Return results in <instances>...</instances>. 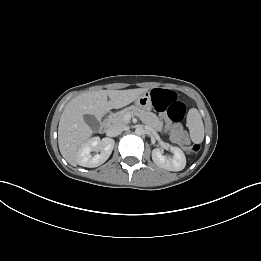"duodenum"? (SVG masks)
<instances>
[{"mask_svg":"<svg viewBox=\"0 0 261 261\" xmlns=\"http://www.w3.org/2000/svg\"><path fill=\"white\" fill-rule=\"evenodd\" d=\"M107 127V122L104 120L101 122L100 129L104 130Z\"/></svg>","mask_w":261,"mask_h":261,"instance_id":"obj_1","label":"duodenum"}]
</instances>
